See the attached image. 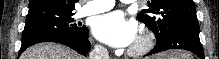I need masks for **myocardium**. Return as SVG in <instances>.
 Listing matches in <instances>:
<instances>
[{
    "instance_id": "1",
    "label": "myocardium",
    "mask_w": 219,
    "mask_h": 59,
    "mask_svg": "<svg viewBox=\"0 0 219 59\" xmlns=\"http://www.w3.org/2000/svg\"><path fill=\"white\" fill-rule=\"evenodd\" d=\"M154 45V38L148 34H141L134 42L129 50V54L132 56H141L148 53Z\"/></svg>"
}]
</instances>
